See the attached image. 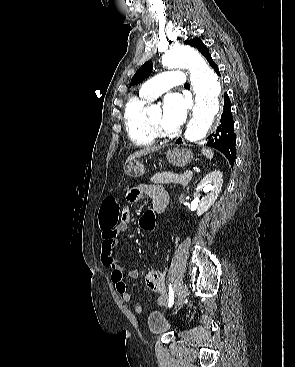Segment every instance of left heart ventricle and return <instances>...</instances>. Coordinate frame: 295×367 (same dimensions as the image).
<instances>
[{"mask_svg": "<svg viewBox=\"0 0 295 367\" xmlns=\"http://www.w3.org/2000/svg\"><path fill=\"white\" fill-rule=\"evenodd\" d=\"M149 118L154 124L158 126H162V112L161 111H157L153 113Z\"/></svg>", "mask_w": 295, "mask_h": 367, "instance_id": "1", "label": "left heart ventricle"}]
</instances>
